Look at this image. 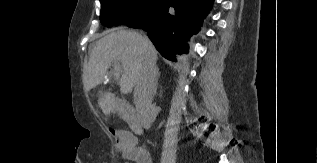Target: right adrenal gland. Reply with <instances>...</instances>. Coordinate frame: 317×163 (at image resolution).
Instances as JSON below:
<instances>
[{
    "mask_svg": "<svg viewBox=\"0 0 317 163\" xmlns=\"http://www.w3.org/2000/svg\"><path fill=\"white\" fill-rule=\"evenodd\" d=\"M159 77H160V72H159V70H158V71H157L156 80H155V89H157Z\"/></svg>",
    "mask_w": 317,
    "mask_h": 163,
    "instance_id": "1",
    "label": "right adrenal gland"
}]
</instances>
